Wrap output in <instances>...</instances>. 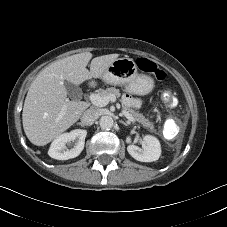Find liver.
I'll return each mask as SVG.
<instances>
[{
    "label": "liver",
    "instance_id": "liver-1",
    "mask_svg": "<svg viewBox=\"0 0 227 227\" xmlns=\"http://www.w3.org/2000/svg\"><path fill=\"white\" fill-rule=\"evenodd\" d=\"M119 57L109 54L92 59L90 52L75 54L45 67L32 82L25 98L22 122L29 141L44 146L71 127L89 107L84 101L67 98L65 81L80 85L92 78H102L108 67ZM64 114L60 116L62 109Z\"/></svg>",
    "mask_w": 227,
    "mask_h": 227
}]
</instances>
